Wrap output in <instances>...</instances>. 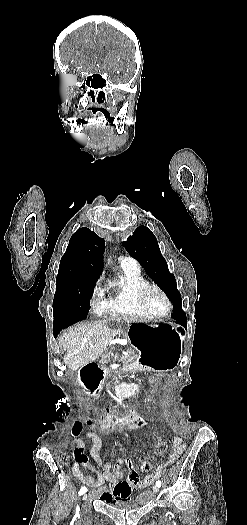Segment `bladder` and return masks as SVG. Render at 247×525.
<instances>
[{
  "label": "bladder",
  "instance_id": "obj_1",
  "mask_svg": "<svg viewBox=\"0 0 247 525\" xmlns=\"http://www.w3.org/2000/svg\"><path fill=\"white\" fill-rule=\"evenodd\" d=\"M144 497H145V494H140L138 497L132 498L126 501L121 500V501L113 502L111 506L114 509H117L120 511H132L138 508L145 507L144 506L145 502H143Z\"/></svg>",
  "mask_w": 247,
  "mask_h": 525
}]
</instances>
